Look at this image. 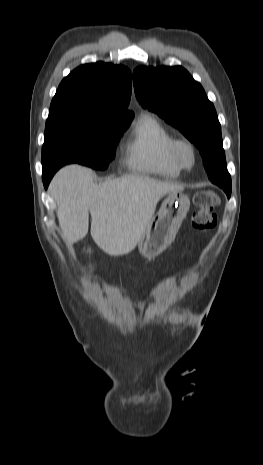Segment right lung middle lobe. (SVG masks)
<instances>
[{
    "label": "right lung middle lobe",
    "instance_id": "dd1d6c3e",
    "mask_svg": "<svg viewBox=\"0 0 263 465\" xmlns=\"http://www.w3.org/2000/svg\"><path fill=\"white\" fill-rule=\"evenodd\" d=\"M133 117L86 108L50 109L42 147V167L56 172L68 163L104 170L115 157L120 136Z\"/></svg>",
    "mask_w": 263,
    "mask_h": 465
}]
</instances>
